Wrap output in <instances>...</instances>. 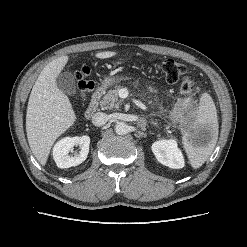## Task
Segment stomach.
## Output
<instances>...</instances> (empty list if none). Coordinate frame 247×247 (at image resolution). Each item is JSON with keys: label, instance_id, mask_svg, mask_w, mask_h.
<instances>
[{"label": "stomach", "instance_id": "obj_1", "mask_svg": "<svg viewBox=\"0 0 247 247\" xmlns=\"http://www.w3.org/2000/svg\"><path fill=\"white\" fill-rule=\"evenodd\" d=\"M116 82V79L113 77H106L104 78V80L102 81V84L105 87L111 86ZM173 119L174 121H177L180 123L181 128L183 130L184 133H190L192 134V132L194 131L193 128V124H194V120H195V113L191 116H187V117H180L176 114L173 115Z\"/></svg>", "mask_w": 247, "mask_h": 247}]
</instances>
